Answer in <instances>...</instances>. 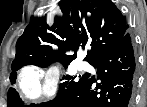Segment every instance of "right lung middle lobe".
Segmentation results:
<instances>
[{
    "instance_id": "dd1d6c3e",
    "label": "right lung middle lobe",
    "mask_w": 147,
    "mask_h": 107,
    "mask_svg": "<svg viewBox=\"0 0 147 107\" xmlns=\"http://www.w3.org/2000/svg\"><path fill=\"white\" fill-rule=\"evenodd\" d=\"M28 64H33V65L39 66V64L34 63L32 61H29V62L25 63L24 65H28ZM22 66L23 65L14 66L11 68L13 71H17ZM40 67H43V66H40ZM16 77H17L16 72H12L10 75V79H11L12 83H15ZM87 77H88V74H84L82 76L79 75V79H77V77L64 76L63 77L64 82L60 85L58 95L55 99H53L52 101H49V102L38 104V105H34V104L28 105L27 107H52V106L56 105L59 101H61L69 93L74 91L77 87H79L86 80ZM8 106H12V107H22L23 106L22 100L19 98L18 93L13 88H10V90L8 92Z\"/></svg>"
}]
</instances>
